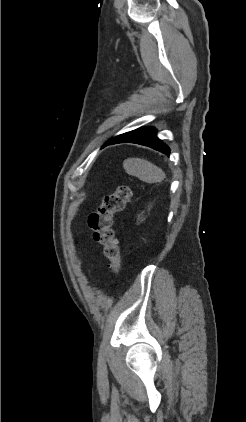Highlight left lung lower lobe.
I'll list each match as a JSON object with an SVG mask.
<instances>
[{"instance_id":"1","label":"left lung lower lobe","mask_w":246,"mask_h":422,"mask_svg":"<svg viewBox=\"0 0 246 422\" xmlns=\"http://www.w3.org/2000/svg\"><path fill=\"white\" fill-rule=\"evenodd\" d=\"M117 143H136L167 155L170 154L169 147L156 136V129L153 127H144L124 133L115 139L109 140L104 146Z\"/></svg>"}]
</instances>
